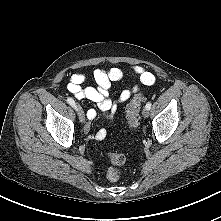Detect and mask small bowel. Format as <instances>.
<instances>
[{
	"instance_id": "c3829d8e",
	"label": "small bowel",
	"mask_w": 221,
	"mask_h": 221,
	"mask_svg": "<svg viewBox=\"0 0 221 221\" xmlns=\"http://www.w3.org/2000/svg\"><path fill=\"white\" fill-rule=\"evenodd\" d=\"M126 73L132 77H138L143 85H153L155 82V76L150 71L146 70L141 65H129L126 69L120 67H114L110 70L95 69L93 72V78L95 86H85L86 76L84 73L76 71L70 75L69 83L67 84V90L77 99H88L95 102L104 114V117L112 123L116 115V104L109 96V89L114 82L122 80ZM138 85H133L125 88L119 95V102H125L129 100L137 91ZM88 121L93 120L96 117V111L89 109L87 111ZM90 131V123L88 122L84 126V132ZM107 136L105 129L98 130L90 138L94 140H104Z\"/></svg>"
}]
</instances>
